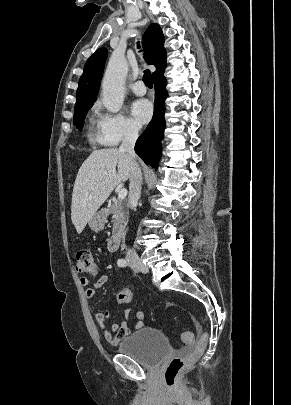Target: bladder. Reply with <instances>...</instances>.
<instances>
[{
    "label": "bladder",
    "instance_id": "obj_1",
    "mask_svg": "<svg viewBox=\"0 0 291 405\" xmlns=\"http://www.w3.org/2000/svg\"><path fill=\"white\" fill-rule=\"evenodd\" d=\"M118 351L146 368H155L167 356L170 346L162 331L143 327L125 337L119 343Z\"/></svg>",
    "mask_w": 291,
    "mask_h": 405
}]
</instances>
